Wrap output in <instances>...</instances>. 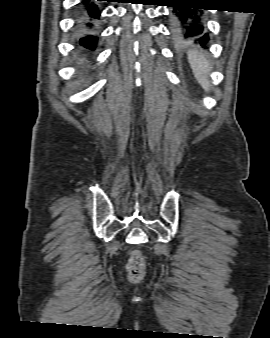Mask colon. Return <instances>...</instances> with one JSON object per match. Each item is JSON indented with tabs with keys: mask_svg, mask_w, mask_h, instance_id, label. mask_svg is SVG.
Here are the masks:
<instances>
[{
	"mask_svg": "<svg viewBox=\"0 0 270 338\" xmlns=\"http://www.w3.org/2000/svg\"><path fill=\"white\" fill-rule=\"evenodd\" d=\"M143 268L144 263L142 256L139 253H132L127 264L129 279L137 281L142 275Z\"/></svg>",
	"mask_w": 270,
	"mask_h": 338,
	"instance_id": "5ec220e1",
	"label": "colon"
}]
</instances>
